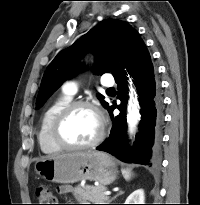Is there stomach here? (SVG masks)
I'll use <instances>...</instances> for the list:
<instances>
[{
	"mask_svg": "<svg viewBox=\"0 0 200 205\" xmlns=\"http://www.w3.org/2000/svg\"><path fill=\"white\" fill-rule=\"evenodd\" d=\"M35 170L44 179L63 184L91 180L108 185L118 173L113 158L103 152H74L40 158Z\"/></svg>",
	"mask_w": 200,
	"mask_h": 205,
	"instance_id": "1",
	"label": "stomach"
}]
</instances>
